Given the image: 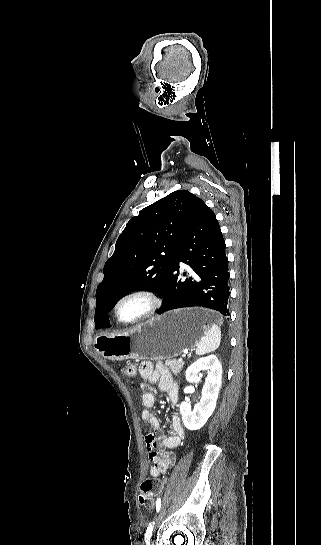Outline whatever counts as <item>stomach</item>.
Instances as JSON below:
<instances>
[{"label": "stomach", "instance_id": "stomach-1", "mask_svg": "<svg viewBox=\"0 0 321 545\" xmlns=\"http://www.w3.org/2000/svg\"><path fill=\"white\" fill-rule=\"evenodd\" d=\"M214 311L175 309L133 327L127 333H99L95 349L105 359H172L191 351L214 321Z\"/></svg>", "mask_w": 321, "mask_h": 545}]
</instances>
